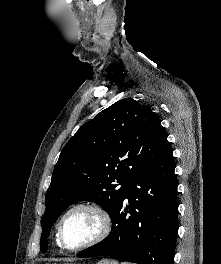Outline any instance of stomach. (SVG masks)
Segmentation results:
<instances>
[{
  "instance_id": "1",
  "label": "stomach",
  "mask_w": 221,
  "mask_h": 264,
  "mask_svg": "<svg viewBox=\"0 0 221 264\" xmlns=\"http://www.w3.org/2000/svg\"><path fill=\"white\" fill-rule=\"evenodd\" d=\"M46 264H50V263H46ZM97 264H119V263L113 259H103V260L99 261Z\"/></svg>"
}]
</instances>
